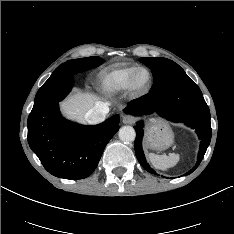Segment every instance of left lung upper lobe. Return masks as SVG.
I'll return each instance as SVG.
<instances>
[{
    "label": "left lung upper lobe",
    "instance_id": "1",
    "mask_svg": "<svg viewBox=\"0 0 234 234\" xmlns=\"http://www.w3.org/2000/svg\"><path fill=\"white\" fill-rule=\"evenodd\" d=\"M140 62L153 72L154 84L151 90L160 89L174 81L188 77L178 64L166 58H141Z\"/></svg>",
    "mask_w": 234,
    "mask_h": 234
}]
</instances>
